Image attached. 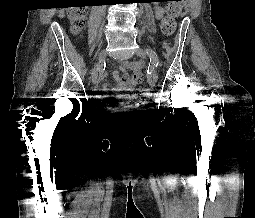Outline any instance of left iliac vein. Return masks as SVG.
<instances>
[{"label": "left iliac vein", "instance_id": "obj_1", "mask_svg": "<svg viewBox=\"0 0 255 218\" xmlns=\"http://www.w3.org/2000/svg\"><path fill=\"white\" fill-rule=\"evenodd\" d=\"M136 54H137V56H139L141 58H146L147 57V55H146V53L143 49H138ZM157 80H158V73H157V70L153 67L151 75L149 77V84L154 86L155 83L157 82Z\"/></svg>", "mask_w": 255, "mask_h": 218}]
</instances>
